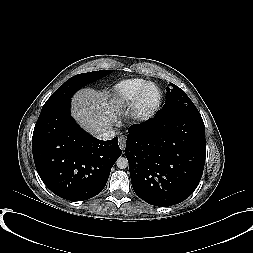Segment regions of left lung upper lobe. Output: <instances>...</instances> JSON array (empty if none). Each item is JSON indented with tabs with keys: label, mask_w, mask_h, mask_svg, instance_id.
Masks as SVG:
<instances>
[{
	"label": "left lung upper lobe",
	"mask_w": 253,
	"mask_h": 253,
	"mask_svg": "<svg viewBox=\"0 0 253 253\" xmlns=\"http://www.w3.org/2000/svg\"><path fill=\"white\" fill-rule=\"evenodd\" d=\"M167 113L195 114L199 112L186 93L171 83L170 87H167L166 102L156 116Z\"/></svg>",
	"instance_id": "left-lung-upper-lobe-1"
}]
</instances>
